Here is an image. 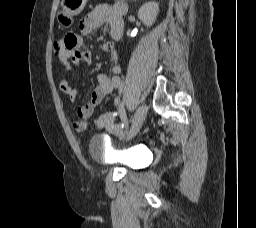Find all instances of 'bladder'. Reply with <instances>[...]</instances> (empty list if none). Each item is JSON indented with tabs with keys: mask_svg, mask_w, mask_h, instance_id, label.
<instances>
[{
	"mask_svg": "<svg viewBox=\"0 0 256 228\" xmlns=\"http://www.w3.org/2000/svg\"><path fill=\"white\" fill-rule=\"evenodd\" d=\"M88 148L93 158L117 162L128 169L142 167L145 160V153L141 148L118 149L103 135L92 136Z\"/></svg>",
	"mask_w": 256,
	"mask_h": 228,
	"instance_id": "1",
	"label": "bladder"
}]
</instances>
